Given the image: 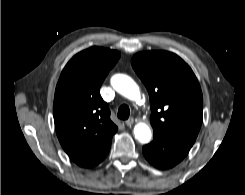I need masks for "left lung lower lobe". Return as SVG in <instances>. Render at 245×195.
Instances as JSON below:
<instances>
[{
	"instance_id": "1",
	"label": "left lung lower lobe",
	"mask_w": 245,
	"mask_h": 195,
	"mask_svg": "<svg viewBox=\"0 0 245 195\" xmlns=\"http://www.w3.org/2000/svg\"><path fill=\"white\" fill-rule=\"evenodd\" d=\"M193 144L167 134L154 133L153 141L143 147L145 158L159 169H169L181 162Z\"/></svg>"
}]
</instances>
